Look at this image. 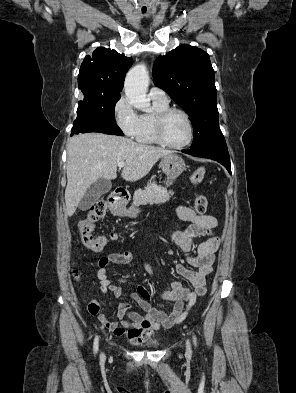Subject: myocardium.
I'll return each mask as SVG.
<instances>
[{
    "mask_svg": "<svg viewBox=\"0 0 296 393\" xmlns=\"http://www.w3.org/2000/svg\"><path fill=\"white\" fill-rule=\"evenodd\" d=\"M172 114H180L182 115L188 125L189 128V136L187 140L181 144H171L169 143L165 137H164V126L166 123V120L171 116ZM155 136L158 141V143L164 147L170 148V149H183L187 147L188 145L191 144L194 138V126L192 123V120L187 112L184 110L178 109V108H167L161 112H159L155 118Z\"/></svg>",
    "mask_w": 296,
    "mask_h": 393,
    "instance_id": "f54148a6",
    "label": "myocardium"
}]
</instances>
